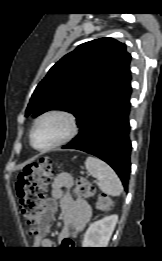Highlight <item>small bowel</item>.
I'll list each match as a JSON object with an SVG mask.
<instances>
[{"label":"small bowel","mask_w":162,"mask_h":261,"mask_svg":"<svg viewBox=\"0 0 162 261\" xmlns=\"http://www.w3.org/2000/svg\"><path fill=\"white\" fill-rule=\"evenodd\" d=\"M73 179L70 174L64 173L58 175L52 184V199L47 201L46 211L41 217L40 228L46 229L56 211V202H60L62 229L59 234L60 242L69 240L72 232H80L90 221L92 211L88 203L84 200L74 199L71 195ZM34 246L51 249L53 241L40 234L34 239Z\"/></svg>","instance_id":"1"}]
</instances>
